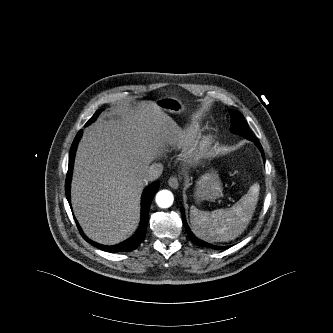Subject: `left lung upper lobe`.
<instances>
[{
	"label": "left lung upper lobe",
	"instance_id": "obj_1",
	"mask_svg": "<svg viewBox=\"0 0 333 333\" xmlns=\"http://www.w3.org/2000/svg\"><path fill=\"white\" fill-rule=\"evenodd\" d=\"M229 113L231 116V131L233 133L242 135L249 140L252 139V134L243 115L235 110H229Z\"/></svg>",
	"mask_w": 333,
	"mask_h": 333
}]
</instances>
